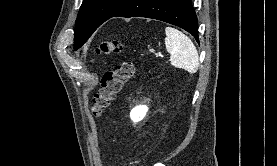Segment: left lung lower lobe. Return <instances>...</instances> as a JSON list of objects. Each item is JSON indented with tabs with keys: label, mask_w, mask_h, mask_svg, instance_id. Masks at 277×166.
<instances>
[{
	"label": "left lung lower lobe",
	"mask_w": 277,
	"mask_h": 166,
	"mask_svg": "<svg viewBox=\"0 0 277 166\" xmlns=\"http://www.w3.org/2000/svg\"><path fill=\"white\" fill-rule=\"evenodd\" d=\"M117 16L161 20L188 31L198 42L197 18L190 0H133L112 17Z\"/></svg>",
	"instance_id": "0a47b994"
}]
</instances>
